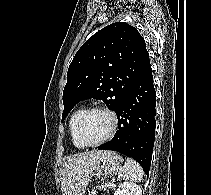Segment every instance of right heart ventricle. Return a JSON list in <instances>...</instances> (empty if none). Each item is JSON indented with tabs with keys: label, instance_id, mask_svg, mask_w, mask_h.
Listing matches in <instances>:
<instances>
[{
	"label": "right heart ventricle",
	"instance_id": "obj_1",
	"mask_svg": "<svg viewBox=\"0 0 211 195\" xmlns=\"http://www.w3.org/2000/svg\"><path fill=\"white\" fill-rule=\"evenodd\" d=\"M83 111H84L83 108L76 109L71 114L70 119H69V132H70L71 140H72L73 145L79 149L83 148V146L80 144L76 136V123L79 116L81 115Z\"/></svg>",
	"mask_w": 211,
	"mask_h": 195
}]
</instances>
